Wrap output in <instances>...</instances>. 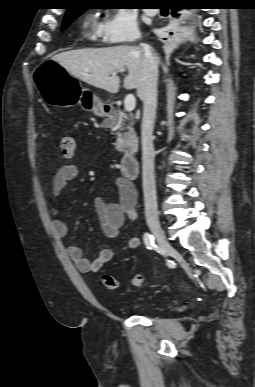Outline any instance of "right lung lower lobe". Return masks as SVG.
Instances as JSON below:
<instances>
[{
    "label": "right lung lower lobe",
    "instance_id": "98d812e1",
    "mask_svg": "<svg viewBox=\"0 0 255 387\" xmlns=\"http://www.w3.org/2000/svg\"><path fill=\"white\" fill-rule=\"evenodd\" d=\"M194 3H192L191 1H183V2H180V3H176L175 5H173L170 9L172 10V15L173 16H179V11L180 10H189V9H193L194 7Z\"/></svg>",
    "mask_w": 255,
    "mask_h": 387
}]
</instances>
